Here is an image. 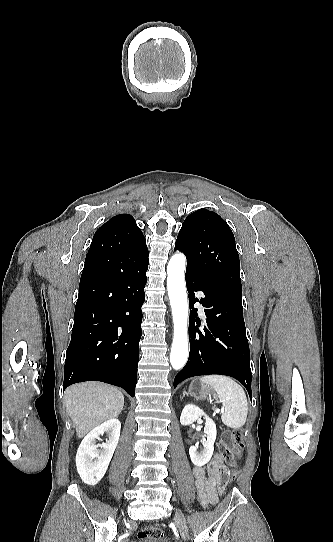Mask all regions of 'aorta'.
Instances as JSON below:
<instances>
[{
  "label": "aorta",
  "instance_id": "762f6f07",
  "mask_svg": "<svg viewBox=\"0 0 333 542\" xmlns=\"http://www.w3.org/2000/svg\"><path fill=\"white\" fill-rule=\"evenodd\" d=\"M186 258L184 254H174L167 266V290L172 310L174 334L170 352V364L173 370H182L188 356V302L184 272Z\"/></svg>",
  "mask_w": 333,
  "mask_h": 542
}]
</instances>
